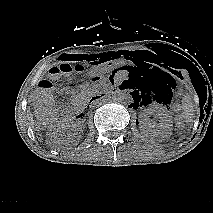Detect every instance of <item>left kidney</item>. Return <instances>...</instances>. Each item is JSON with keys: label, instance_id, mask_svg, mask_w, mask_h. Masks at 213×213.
<instances>
[{"label": "left kidney", "instance_id": "left-kidney-1", "mask_svg": "<svg viewBox=\"0 0 213 213\" xmlns=\"http://www.w3.org/2000/svg\"><path fill=\"white\" fill-rule=\"evenodd\" d=\"M147 112H151V114L155 113L159 118V123L152 122L144 116L140 121V125L144 133L153 137L162 138H166L171 135L173 123L172 116L165 107L156 106L154 109H151V111L148 110ZM177 124L180 125L181 123L178 122Z\"/></svg>", "mask_w": 213, "mask_h": 213}]
</instances>
